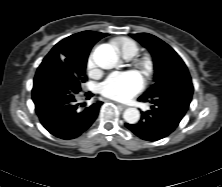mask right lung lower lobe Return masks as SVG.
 Returning a JSON list of instances; mask_svg holds the SVG:
<instances>
[{"mask_svg": "<svg viewBox=\"0 0 222 187\" xmlns=\"http://www.w3.org/2000/svg\"><path fill=\"white\" fill-rule=\"evenodd\" d=\"M79 81L59 60L39 67L34 78L32 99L41 124L52 135L73 139L87 130L98 116L102 102L90 106L77 103ZM86 99L93 94L86 92Z\"/></svg>", "mask_w": 222, "mask_h": 187, "instance_id": "obj_1", "label": "right lung lower lobe"}]
</instances>
